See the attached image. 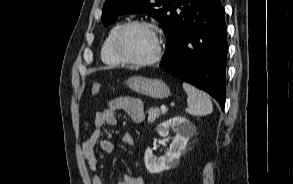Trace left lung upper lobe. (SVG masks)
I'll use <instances>...</instances> for the list:
<instances>
[{"mask_svg": "<svg viewBox=\"0 0 293 184\" xmlns=\"http://www.w3.org/2000/svg\"><path fill=\"white\" fill-rule=\"evenodd\" d=\"M179 0H106L103 6L102 23L110 25L120 15L147 13L164 29L165 36L171 25L174 7Z\"/></svg>", "mask_w": 293, "mask_h": 184, "instance_id": "1", "label": "left lung upper lobe"}]
</instances>
